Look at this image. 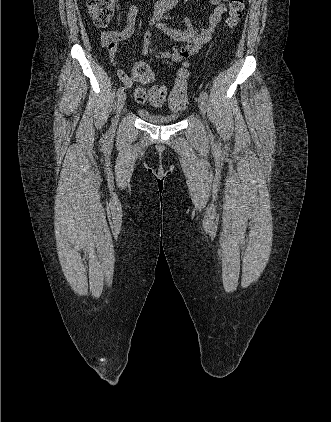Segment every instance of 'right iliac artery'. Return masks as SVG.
Wrapping results in <instances>:
<instances>
[{
    "mask_svg": "<svg viewBox=\"0 0 331 422\" xmlns=\"http://www.w3.org/2000/svg\"><path fill=\"white\" fill-rule=\"evenodd\" d=\"M123 91H124V87H123V86H120V87L118 88V90H117V96H120V95H121V93H123Z\"/></svg>",
    "mask_w": 331,
    "mask_h": 422,
    "instance_id": "right-iliac-artery-1",
    "label": "right iliac artery"
}]
</instances>
